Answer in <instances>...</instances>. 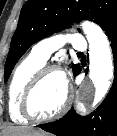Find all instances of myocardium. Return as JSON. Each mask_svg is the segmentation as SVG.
<instances>
[{"instance_id":"1","label":"myocardium","mask_w":117,"mask_h":136,"mask_svg":"<svg viewBox=\"0 0 117 136\" xmlns=\"http://www.w3.org/2000/svg\"><path fill=\"white\" fill-rule=\"evenodd\" d=\"M51 73H60L63 76H65L63 70L60 67L56 65H46L33 75V77L30 79V81L28 82L27 86L23 91L20 103V112L22 113L23 116H25L27 119L31 121L38 123L53 121L59 118L61 115H63L71 105L73 98L72 90L68 83H66V95L64 102L55 113L49 116H37L33 113L31 109L32 96L38 85L41 83V81Z\"/></svg>"}]
</instances>
